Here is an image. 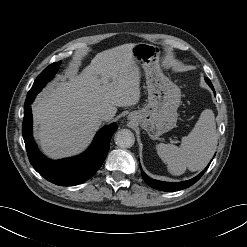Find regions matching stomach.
Instances as JSON below:
<instances>
[{
    "mask_svg": "<svg viewBox=\"0 0 247 247\" xmlns=\"http://www.w3.org/2000/svg\"><path fill=\"white\" fill-rule=\"evenodd\" d=\"M132 54L145 71L148 104L143 109L130 113L129 119L140 125L152 139H157L175 127L181 91L162 72L158 46L137 43L134 44Z\"/></svg>",
    "mask_w": 247,
    "mask_h": 247,
    "instance_id": "obj_1",
    "label": "stomach"
}]
</instances>
